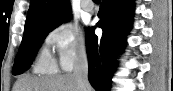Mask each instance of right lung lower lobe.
Masks as SVG:
<instances>
[{"label":"right lung lower lobe","mask_w":173,"mask_h":91,"mask_svg":"<svg viewBox=\"0 0 173 91\" xmlns=\"http://www.w3.org/2000/svg\"><path fill=\"white\" fill-rule=\"evenodd\" d=\"M133 0H103L96 24L102 37L87 29L86 45L89 60L88 79L97 91H109L117 66L116 57L123 52L126 36L132 25Z\"/></svg>","instance_id":"98d812e1"}]
</instances>
